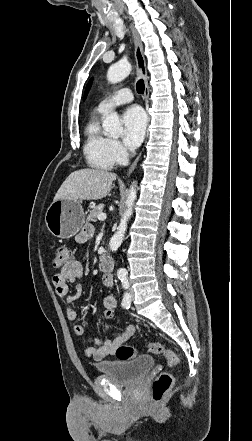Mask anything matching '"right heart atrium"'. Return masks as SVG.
<instances>
[{
  "mask_svg": "<svg viewBox=\"0 0 252 441\" xmlns=\"http://www.w3.org/2000/svg\"><path fill=\"white\" fill-rule=\"evenodd\" d=\"M110 150L115 162L120 163L125 160L127 156V151L118 140H111Z\"/></svg>",
  "mask_w": 252,
  "mask_h": 441,
  "instance_id": "1",
  "label": "right heart atrium"
}]
</instances>
